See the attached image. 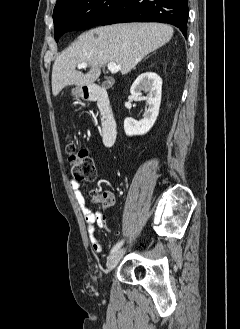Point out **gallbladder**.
<instances>
[{"mask_svg":"<svg viewBox=\"0 0 240 329\" xmlns=\"http://www.w3.org/2000/svg\"><path fill=\"white\" fill-rule=\"evenodd\" d=\"M102 86L105 87V88H108L109 87V84H108L107 81H105V82L102 83Z\"/></svg>","mask_w":240,"mask_h":329,"instance_id":"gallbladder-1","label":"gallbladder"}]
</instances>
